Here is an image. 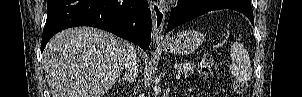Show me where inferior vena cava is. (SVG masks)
<instances>
[{
    "instance_id": "inferior-vena-cava-1",
    "label": "inferior vena cava",
    "mask_w": 302,
    "mask_h": 97,
    "mask_svg": "<svg viewBox=\"0 0 302 97\" xmlns=\"http://www.w3.org/2000/svg\"><path fill=\"white\" fill-rule=\"evenodd\" d=\"M125 68L128 71L131 79L134 80L138 75L137 54L133 45L128 44L125 57Z\"/></svg>"
}]
</instances>
